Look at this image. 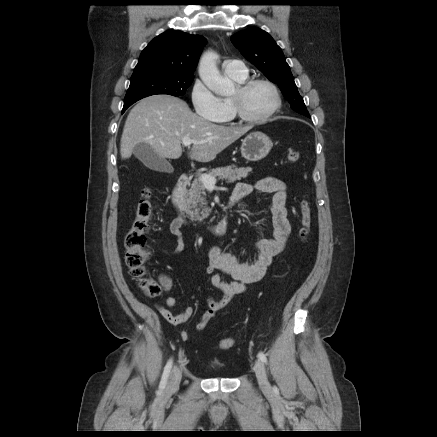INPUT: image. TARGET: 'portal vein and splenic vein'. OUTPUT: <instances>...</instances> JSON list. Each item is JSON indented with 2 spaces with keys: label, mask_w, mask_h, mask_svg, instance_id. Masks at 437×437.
I'll return each instance as SVG.
<instances>
[{
  "label": "portal vein and splenic vein",
  "mask_w": 437,
  "mask_h": 437,
  "mask_svg": "<svg viewBox=\"0 0 437 437\" xmlns=\"http://www.w3.org/2000/svg\"><path fill=\"white\" fill-rule=\"evenodd\" d=\"M182 143L185 147H189L191 144H195L196 142L190 138H183ZM201 182L206 189L213 190L215 188L216 179L212 176L203 174L201 175Z\"/></svg>",
  "instance_id": "obj_1"
}]
</instances>
